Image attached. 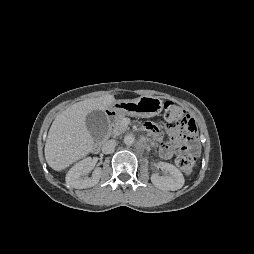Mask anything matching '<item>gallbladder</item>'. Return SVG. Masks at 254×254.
<instances>
[{
  "mask_svg": "<svg viewBox=\"0 0 254 254\" xmlns=\"http://www.w3.org/2000/svg\"><path fill=\"white\" fill-rule=\"evenodd\" d=\"M85 122L89 133L95 141H101L106 137L109 121L104 111H91L86 116Z\"/></svg>",
  "mask_w": 254,
  "mask_h": 254,
  "instance_id": "gallbladder-1",
  "label": "gallbladder"
}]
</instances>
